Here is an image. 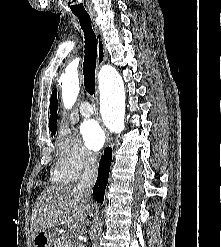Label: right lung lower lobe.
<instances>
[{
    "label": "right lung lower lobe",
    "instance_id": "right-lung-lower-lobe-1",
    "mask_svg": "<svg viewBox=\"0 0 221 247\" xmlns=\"http://www.w3.org/2000/svg\"><path fill=\"white\" fill-rule=\"evenodd\" d=\"M111 161L112 149L110 147H107L104 151V155L101 157V160L99 162L98 178L93 187V195L100 203H102L104 199V192L108 183Z\"/></svg>",
    "mask_w": 221,
    "mask_h": 247
}]
</instances>
